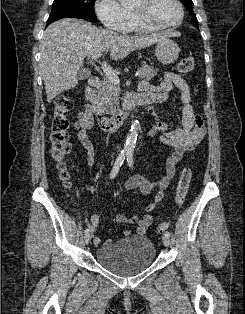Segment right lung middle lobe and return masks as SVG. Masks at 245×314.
Listing matches in <instances>:
<instances>
[{"label":"right lung middle lobe","instance_id":"right-lung-middle-lobe-1","mask_svg":"<svg viewBox=\"0 0 245 314\" xmlns=\"http://www.w3.org/2000/svg\"><path fill=\"white\" fill-rule=\"evenodd\" d=\"M94 3L95 0H54L49 18L80 15L96 19Z\"/></svg>","mask_w":245,"mask_h":314}]
</instances>
